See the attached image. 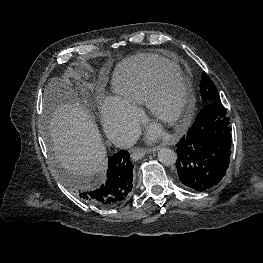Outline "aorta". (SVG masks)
<instances>
[{
    "label": "aorta",
    "mask_w": 263,
    "mask_h": 263,
    "mask_svg": "<svg viewBox=\"0 0 263 263\" xmlns=\"http://www.w3.org/2000/svg\"><path fill=\"white\" fill-rule=\"evenodd\" d=\"M158 160L165 166H171L176 163L177 155L169 148H161L158 151Z\"/></svg>",
    "instance_id": "aorta-1"
}]
</instances>
